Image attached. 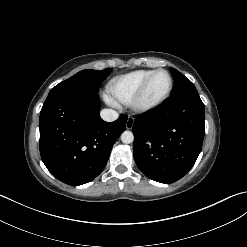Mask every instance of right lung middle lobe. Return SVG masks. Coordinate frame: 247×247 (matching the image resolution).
<instances>
[{
	"mask_svg": "<svg viewBox=\"0 0 247 247\" xmlns=\"http://www.w3.org/2000/svg\"><path fill=\"white\" fill-rule=\"evenodd\" d=\"M112 71L111 68H106L102 71L86 69L78 72L69 79L57 84L49 92L50 94L60 92H83L97 93L101 82Z\"/></svg>",
	"mask_w": 247,
	"mask_h": 247,
	"instance_id": "right-lung-middle-lobe-1",
	"label": "right lung middle lobe"
}]
</instances>
